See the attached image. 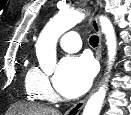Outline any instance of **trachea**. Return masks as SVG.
Returning <instances> with one entry per match:
<instances>
[{
	"label": "trachea",
	"mask_w": 131,
	"mask_h": 115,
	"mask_svg": "<svg viewBox=\"0 0 131 115\" xmlns=\"http://www.w3.org/2000/svg\"><path fill=\"white\" fill-rule=\"evenodd\" d=\"M89 42H90L92 47H97L98 42H99L98 36H95V35L91 36Z\"/></svg>",
	"instance_id": "3493384b"
}]
</instances>
